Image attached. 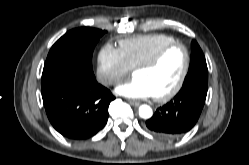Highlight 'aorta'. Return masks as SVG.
Returning a JSON list of instances; mask_svg holds the SVG:
<instances>
[{"instance_id":"1","label":"aorta","mask_w":249,"mask_h":165,"mask_svg":"<svg viewBox=\"0 0 249 165\" xmlns=\"http://www.w3.org/2000/svg\"><path fill=\"white\" fill-rule=\"evenodd\" d=\"M153 115L152 108L148 105H141L139 107V116L143 119H149Z\"/></svg>"}]
</instances>
